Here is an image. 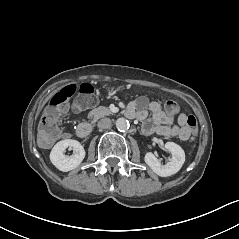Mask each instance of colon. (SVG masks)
<instances>
[{
	"label": "colon",
	"mask_w": 239,
	"mask_h": 239,
	"mask_svg": "<svg viewBox=\"0 0 239 239\" xmlns=\"http://www.w3.org/2000/svg\"><path fill=\"white\" fill-rule=\"evenodd\" d=\"M78 93L75 108L82 110L92 106L96 102V97L93 87L88 83H83L79 87L74 84L67 85L60 89L52 98L42 115L39 126L40 141L44 145H48L55 135L58 133V120L61 113L64 111L69 99ZM165 110L168 115L175 116L180 110L179 104L174 100H168L165 103ZM187 126L192 134L197 131V122L194 116H188Z\"/></svg>",
	"instance_id": "1"
}]
</instances>
